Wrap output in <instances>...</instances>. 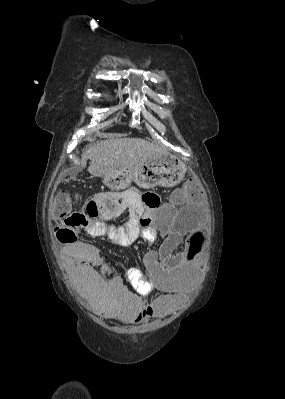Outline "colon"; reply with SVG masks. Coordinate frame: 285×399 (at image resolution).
<instances>
[{"mask_svg":"<svg viewBox=\"0 0 285 399\" xmlns=\"http://www.w3.org/2000/svg\"><path fill=\"white\" fill-rule=\"evenodd\" d=\"M197 187V181L191 179L183 184L182 190L186 193H191L196 191ZM113 201H118L121 203L122 199L117 195V193H109L103 196L104 203H110ZM140 204L149 208H153L159 205V198L155 194H147L142 198ZM72 205L73 199L67 189L59 190L51 202V212L54 219L63 220L65 225L69 227L66 230V237H63L62 230L59 231L61 241L67 243L78 242V236L74 231V225L78 226L87 224L83 214L79 212H71ZM180 217L184 218L185 214H181ZM147 224L148 220L145 216V213L140 209V205H138L133 213V216L127 220L126 224L111 230L107 236L113 241L131 245L135 242V240L142 236ZM174 254V251H171L167 254L170 264L172 263Z\"/></svg>","mask_w":285,"mask_h":399,"instance_id":"obj_1","label":"colon"}]
</instances>
